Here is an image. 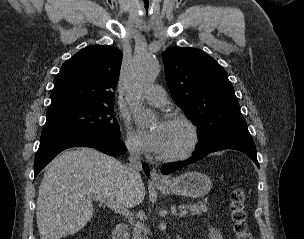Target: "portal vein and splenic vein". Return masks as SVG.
<instances>
[{
  "label": "portal vein and splenic vein",
  "mask_w": 304,
  "mask_h": 239,
  "mask_svg": "<svg viewBox=\"0 0 304 239\" xmlns=\"http://www.w3.org/2000/svg\"><path fill=\"white\" fill-rule=\"evenodd\" d=\"M96 200H98L100 203L106 204L110 208H113L115 211H117L119 214H122L123 216H128L131 218V213L124 207L120 206L119 204H116L113 200L111 199H106V198H100L96 197ZM186 209H180L179 217H183L187 214Z\"/></svg>",
  "instance_id": "portal-vein-and-splenic-vein-1"
}]
</instances>
